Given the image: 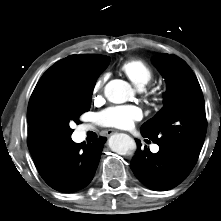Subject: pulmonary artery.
Instances as JSON below:
<instances>
[{
  "label": "pulmonary artery",
  "instance_id": "1",
  "mask_svg": "<svg viewBox=\"0 0 221 221\" xmlns=\"http://www.w3.org/2000/svg\"><path fill=\"white\" fill-rule=\"evenodd\" d=\"M152 151H153L154 153L158 152V151H159V146H158V145H153V146H152Z\"/></svg>",
  "mask_w": 221,
  "mask_h": 221
}]
</instances>
